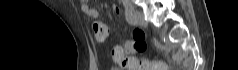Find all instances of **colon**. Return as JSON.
<instances>
[{"label": "colon", "mask_w": 238, "mask_h": 70, "mask_svg": "<svg viewBox=\"0 0 238 70\" xmlns=\"http://www.w3.org/2000/svg\"><path fill=\"white\" fill-rule=\"evenodd\" d=\"M134 45L138 51H143L146 48V43L144 42L145 33L141 29H136L133 31ZM133 42L132 40L130 41ZM113 59H117V62L126 70H164L166 66L164 63L158 61H150L147 59H137L131 57L130 54H124V49L122 42H115L113 45Z\"/></svg>", "instance_id": "obj_1"}]
</instances>
